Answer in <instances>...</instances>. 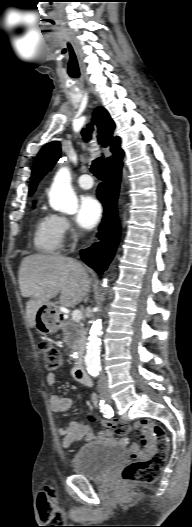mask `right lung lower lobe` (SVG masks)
Here are the masks:
<instances>
[{
    "label": "right lung lower lobe",
    "mask_w": 192,
    "mask_h": 527,
    "mask_svg": "<svg viewBox=\"0 0 192 527\" xmlns=\"http://www.w3.org/2000/svg\"><path fill=\"white\" fill-rule=\"evenodd\" d=\"M122 156L105 166L103 183L98 188L99 200L105 208L103 222L98 232L100 241L80 253L83 261L99 274H102L107 269L119 242L120 227L116 203L121 177Z\"/></svg>",
    "instance_id": "right-lung-lower-lobe-1"
}]
</instances>
